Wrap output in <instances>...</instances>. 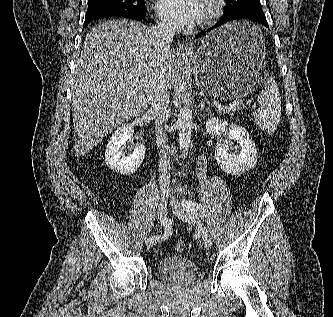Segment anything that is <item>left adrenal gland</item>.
Returning <instances> with one entry per match:
<instances>
[{"label": "left adrenal gland", "mask_w": 333, "mask_h": 317, "mask_svg": "<svg viewBox=\"0 0 333 317\" xmlns=\"http://www.w3.org/2000/svg\"><path fill=\"white\" fill-rule=\"evenodd\" d=\"M200 111H203V110H209V108H207L206 106H205V103L203 102V101H201L200 102V109H199Z\"/></svg>", "instance_id": "1"}]
</instances>
